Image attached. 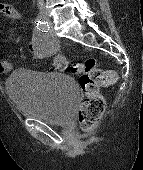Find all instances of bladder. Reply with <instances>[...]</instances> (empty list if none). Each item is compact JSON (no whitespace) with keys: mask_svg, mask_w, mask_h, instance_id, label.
<instances>
[{"mask_svg":"<svg viewBox=\"0 0 143 170\" xmlns=\"http://www.w3.org/2000/svg\"><path fill=\"white\" fill-rule=\"evenodd\" d=\"M5 90L22 115L54 125L72 119L79 98L76 82L59 72L18 69L8 76Z\"/></svg>","mask_w":143,"mask_h":170,"instance_id":"31cf9c89","label":"bladder"}]
</instances>
